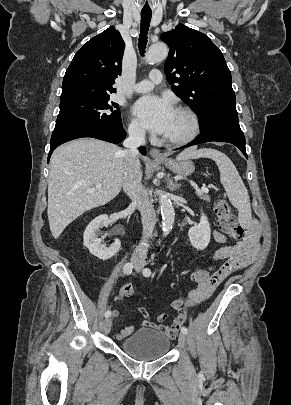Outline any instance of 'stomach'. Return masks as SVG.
<instances>
[{
    "label": "stomach",
    "mask_w": 291,
    "mask_h": 405,
    "mask_svg": "<svg viewBox=\"0 0 291 405\" xmlns=\"http://www.w3.org/2000/svg\"><path fill=\"white\" fill-rule=\"evenodd\" d=\"M160 162L163 163L173 173L182 176L191 175L195 169L194 164L188 159L183 160L164 159L161 160Z\"/></svg>",
    "instance_id": "obj_1"
}]
</instances>
